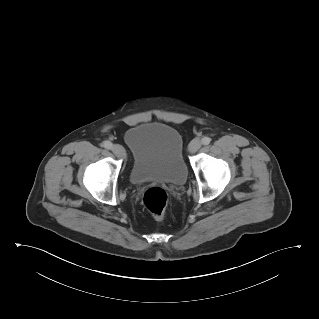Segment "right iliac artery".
<instances>
[{
	"instance_id": "obj_1",
	"label": "right iliac artery",
	"mask_w": 319,
	"mask_h": 319,
	"mask_svg": "<svg viewBox=\"0 0 319 319\" xmlns=\"http://www.w3.org/2000/svg\"><path fill=\"white\" fill-rule=\"evenodd\" d=\"M103 147L106 148V149H112L113 147V144L109 141H104L103 142Z\"/></svg>"
}]
</instances>
